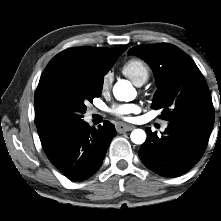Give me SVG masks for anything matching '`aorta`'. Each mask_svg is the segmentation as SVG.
Here are the masks:
<instances>
[{
	"instance_id": "762f6f07",
	"label": "aorta",
	"mask_w": 221,
	"mask_h": 221,
	"mask_svg": "<svg viewBox=\"0 0 221 221\" xmlns=\"http://www.w3.org/2000/svg\"><path fill=\"white\" fill-rule=\"evenodd\" d=\"M113 94L119 101H131L136 96V90L128 80H119L113 87ZM130 138L135 144H143L146 133L142 129H135L131 132Z\"/></svg>"
}]
</instances>
